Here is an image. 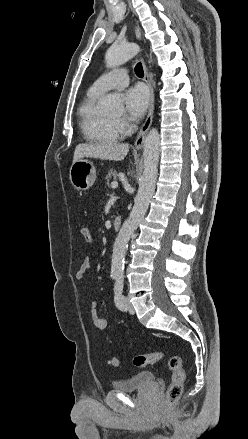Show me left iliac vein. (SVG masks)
I'll use <instances>...</instances> for the list:
<instances>
[{
  "mask_svg": "<svg viewBox=\"0 0 248 439\" xmlns=\"http://www.w3.org/2000/svg\"><path fill=\"white\" fill-rule=\"evenodd\" d=\"M125 303H126V310L129 313H134L135 310H134V307H133L132 303L130 302L129 298H125Z\"/></svg>",
  "mask_w": 248,
  "mask_h": 439,
  "instance_id": "obj_1",
  "label": "left iliac vein"
}]
</instances>
